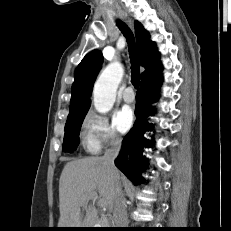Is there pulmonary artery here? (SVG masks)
Segmentation results:
<instances>
[{
    "label": "pulmonary artery",
    "instance_id": "1",
    "mask_svg": "<svg viewBox=\"0 0 231 231\" xmlns=\"http://www.w3.org/2000/svg\"><path fill=\"white\" fill-rule=\"evenodd\" d=\"M122 98L125 102H133L135 95L131 87H127L122 92Z\"/></svg>",
    "mask_w": 231,
    "mask_h": 231
}]
</instances>
